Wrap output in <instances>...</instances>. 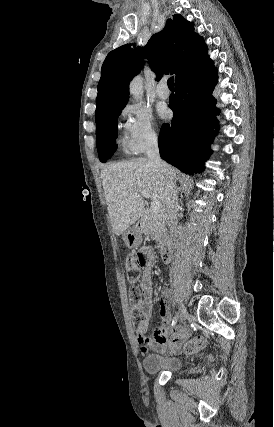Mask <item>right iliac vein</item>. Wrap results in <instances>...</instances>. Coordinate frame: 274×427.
<instances>
[{
	"mask_svg": "<svg viewBox=\"0 0 274 427\" xmlns=\"http://www.w3.org/2000/svg\"><path fill=\"white\" fill-rule=\"evenodd\" d=\"M179 316H180L181 323H183L185 321V319L188 317L187 312H186V308L183 304H181L179 307Z\"/></svg>",
	"mask_w": 274,
	"mask_h": 427,
	"instance_id": "63e3f726",
	"label": "right iliac vein"
}]
</instances>
